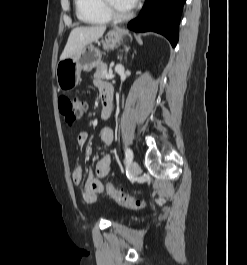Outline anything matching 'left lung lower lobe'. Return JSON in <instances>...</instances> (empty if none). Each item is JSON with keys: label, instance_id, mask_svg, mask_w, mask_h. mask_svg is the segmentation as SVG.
Returning <instances> with one entry per match:
<instances>
[{"label": "left lung lower lobe", "instance_id": "1", "mask_svg": "<svg viewBox=\"0 0 247 265\" xmlns=\"http://www.w3.org/2000/svg\"><path fill=\"white\" fill-rule=\"evenodd\" d=\"M185 1L146 0L140 15L129 22L128 28L136 32L154 31L160 33L175 47Z\"/></svg>", "mask_w": 247, "mask_h": 265}]
</instances>
